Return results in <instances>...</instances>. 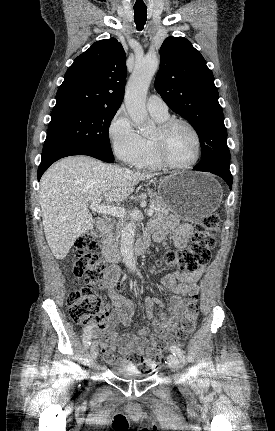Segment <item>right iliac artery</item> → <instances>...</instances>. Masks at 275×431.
Instances as JSON below:
<instances>
[{
  "label": "right iliac artery",
  "mask_w": 275,
  "mask_h": 431,
  "mask_svg": "<svg viewBox=\"0 0 275 431\" xmlns=\"http://www.w3.org/2000/svg\"><path fill=\"white\" fill-rule=\"evenodd\" d=\"M91 326H88L85 328L84 332H83V343L85 345L86 348H88L91 344L90 340H91Z\"/></svg>",
  "instance_id": "obj_1"
}]
</instances>
